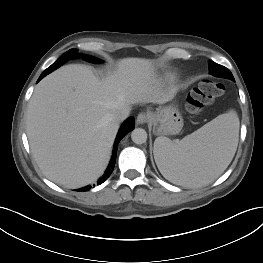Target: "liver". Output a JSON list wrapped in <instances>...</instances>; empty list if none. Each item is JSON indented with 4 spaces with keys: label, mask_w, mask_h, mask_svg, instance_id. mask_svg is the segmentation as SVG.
<instances>
[{
    "label": "liver",
    "mask_w": 263,
    "mask_h": 263,
    "mask_svg": "<svg viewBox=\"0 0 263 263\" xmlns=\"http://www.w3.org/2000/svg\"><path fill=\"white\" fill-rule=\"evenodd\" d=\"M176 88L161 90L152 60L124 58L100 80L80 64L66 65L35 88L26 115L31 153L43 174L67 188L96 181L110 159L119 129L112 118L132 104L170 101Z\"/></svg>",
    "instance_id": "obj_1"
}]
</instances>
